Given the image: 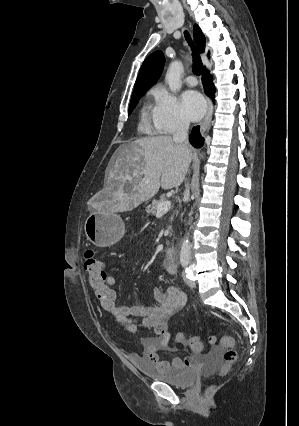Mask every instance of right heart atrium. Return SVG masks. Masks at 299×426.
I'll return each instance as SVG.
<instances>
[{"mask_svg":"<svg viewBox=\"0 0 299 426\" xmlns=\"http://www.w3.org/2000/svg\"><path fill=\"white\" fill-rule=\"evenodd\" d=\"M154 95L156 104L152 119L156 129L164 134L185 129L188 126V120L178 98L163 87H158Z\"/></svg>","mask_w":299,"mask_h":426,"instance_id":"right-heart-atrium-1","label":"right heart atrium"}]
</instances>
